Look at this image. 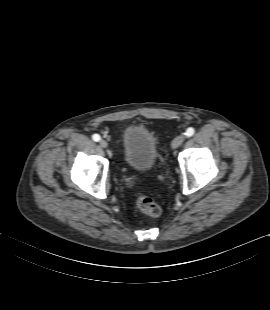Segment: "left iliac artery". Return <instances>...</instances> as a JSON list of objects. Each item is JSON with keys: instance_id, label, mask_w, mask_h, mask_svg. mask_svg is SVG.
Listing matches in <instances>:
<instances>
[{"instance_id": "obj_1", "label": "left iliac artery", "mask_w": 270, "mask_h": 310, "mask_svg": "<svg viewBox=\"0 0 270 310\" xmlns=\"http://www.w3.org/2000/svg\"><path fill=\"white\" fill-rule=\"evenodd\" d=\"M194 133H195L194 128L189 127V128L186 130L185 135H186L187 137H191Z\"/></svg>"}]
</instances>
